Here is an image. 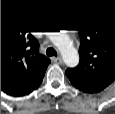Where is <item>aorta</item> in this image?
<instances>
[{
    "instance_id": "1",
    "label": "aorta",
    "mask_w": 115,
    "mask_h": 114,
    "mask_svg": "<svg viewBox=\"0 0 115 114\" xmlns=\"http://www.w3.org/2000/svg\"><path fill=\"white\" fill-rule=\"evenodd\" d=\"M51 40L60 50L65 64L69 67H75L79 63V54L76 48L72 45L66 31L51 34Z\"/></svg>"
}]
</instances>
